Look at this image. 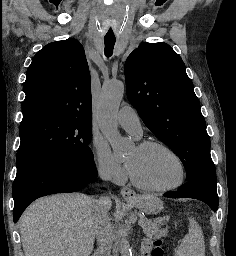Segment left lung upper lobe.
Masks as SVG:
<instances>
[{
  "label": "left lung upper lobe",
  "mask_w": 236,
  "mask_h": 256,
  "mask_svg": "<svg viewBox=\"0 0 236 256\" xmlns=\"http://www.w3.org/2000/svg\"><path fill=\"white\" fill-rule=\"evenodd\" d=\"M124 70L129 101L181 159L187 181L216 183L205 119L180 56L166 43H142L129 55Z\"/></svg>",
  "instance_id": "5c2ea615"
}]
</instances>
